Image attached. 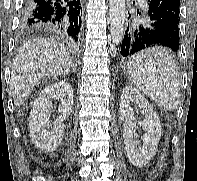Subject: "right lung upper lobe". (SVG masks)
<instances>
[{
    "label": "right lung upper lobe",
    "instance_id": "cb5924a9",
    "mask_svg": "<svg viewBox=\"0 0 197 181\" xmlns=\"http://www.w3.org/2000/svg\"><path fill=\"white\" fill-rule=\"evenodd\" d=\"M25 29H28L30 31H37V30H44V27L33 26V27L25 28Z\"/></svg>",
    "mask_w": 197,
    "mask_h": 181
}]
</instances>
